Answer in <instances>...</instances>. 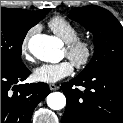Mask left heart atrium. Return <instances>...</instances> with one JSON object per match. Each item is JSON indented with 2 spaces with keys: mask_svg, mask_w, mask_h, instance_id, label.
I'll list each match as a JSON object with an SVG mask.
<instances>
[{
  "mask_svg": "<svg viewBox=\"0 0 123 123\" xmlns=\"http://www.w3.org/2000/svg\"><path fill=\"white\" fill-rule=\"evenodd\" d=\"M73 72V64L64 60L59 63L43 64L34 70L35 80L43 83H55Z\"/></svg>",
  "mask_w": 123,
  "mask_h": 123,
  "instance_id": "39dd6f15",
  "label": "left heart atrium"
}]
</instances>
